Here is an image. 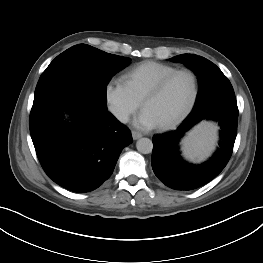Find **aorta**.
Segmentation results:
<instances>
[{
	"mask_svg": "<svg viewBox=\"0 0 263 263\" xmlns=\"http://www.w3.org/2000/svg\"><path fill=\"white\" fill-rule=\"evenodd\" d=\"M136 148L142 154H149L152 152L153 143L149 138H141L137 141Z\"/></svg>",
	"mask_w": 263,
	"mask_h": 263,
	"instance_id": "1",
	"label": "aorta"
}]
</instances>
